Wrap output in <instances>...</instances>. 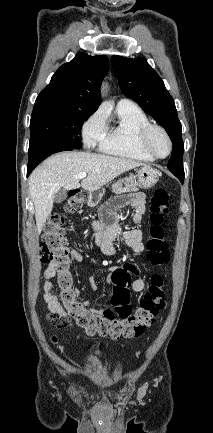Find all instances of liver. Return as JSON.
I'll return each instance as SVG.
<instances>
[{"label": "liver", "instance_id": "obj_1", "mask_svg": "<svg viewBox=\"0 0 213 433\" xmlns=\"http://www.w3.org/2000/svg\"><path fill=\"white\" fill-rule=\"evenodd\" d=\"M141 165L130 159L90 152H62L46 159L29 177V192L35 206L38 234L51 214L54 196L61 188L73 190L82 187L93 192L122 173ZM81 172L88 175L79 183L76 176Z\"/></svg>", "mask_w": 213, "mask_h": 433}]
</instances>
